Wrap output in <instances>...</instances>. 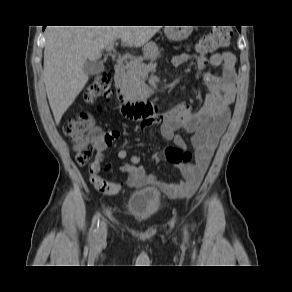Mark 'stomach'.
Instances as JSON below:
<instances>
[{
    "mask_svg": "<svg viewBox=\"0 0 292 292\" xmlns=\"http://www.w3.org/2000/svg\"><path fill=\"white\" fill-rule=\"evenodd\" d=\"M190 28H169L166 31L167 37L173 41H182L189 35Z\"/></svg>",
    "mask_w": 292,
    "mask_h": 292,
    "instance_id": "stomach-1",
    "label": "stomach"
}]
</instances>
